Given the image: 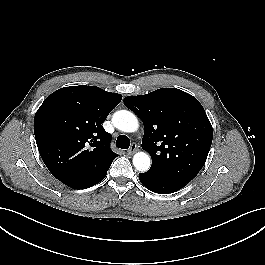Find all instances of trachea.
I'll return each instance as SVG.
<instances>
[{
	"mask_svg": "<svg viewBox=\"0 0 265 265\" xmlns=\"http://www.w3.org/2000/svg\"><path fill=\"white\" fill-rule=\"evenodd\" d=\"M116 146L121 149H128L130 146V140L125 135H120L116 140Z\"/></svg>",
	"mask_w": 265,
	"mask_h": 265,
	"instance_id": "3493384b",
	"label": "trachea"
}]
</instances>
